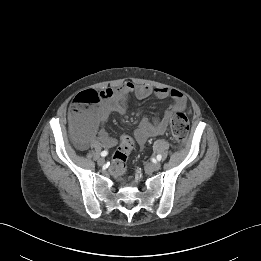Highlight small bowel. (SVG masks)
<instances>
[{
  "instance_id": "small-bowel-1",
  "label": "small bowel",
  "mask_w": 261,
  "mask_h": 261,
  "mask_svg": "<svg viewBox=\"0 0 261 261\" xmlns=\"http://www.w3.org/2000/svg\"><path fill=\"white\" fill-rule=\"evenodd\" d=\"M134 96L139 99L154 96L159 99L170 97L173 104L162 118L148 120L143 119L134 131V138L139 147H143L146 141L153 136L163 134L169 125L173 112L184 110L186 100L184 95L176 89L167 87H151L149 85H137L132 82H125L116 88H106L100 92L101 101L94 108L89 121L85 126L82 137L78 140V146L85 148L95 136L98 130V139L105 148H111L116 145L117 140L105 129V124L112 113L123 115L127 110L129 97Z\"/></svg>"
}]
</instances>
